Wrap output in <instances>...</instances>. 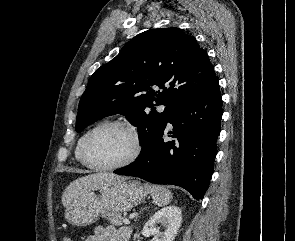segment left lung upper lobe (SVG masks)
<instances>
[{
	"label": "left lung upper lobe",
	"mask_w": 295,
	"mask_h": 241,
	"mask_svg": "<svg viewBox=\"0 0 295 241\" xmlns=\"http://www.w3.org/2000/svg\"><path fill=\"white\" fill-rule=\"evenodd\" d=\"M215 79L206 51L193 36L179 28L150 29L92 74L79 102L76 131L123 114L137 126L143 150L180 104ZM155 105L166 107L157 112Z\"/></svg>",
	"instance_id": "5c2ea615"
}]
</instances>
